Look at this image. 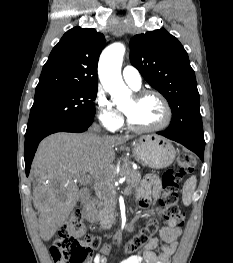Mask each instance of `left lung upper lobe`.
<instances>
[{
  "label": "left lung upper lobe",
  "mask_w": 233,
  "mask_h": 263,
  "mask_svg": "<svg viewBox=\"0 0 233 263\" xmlns=\"http://www.w3.org/2000/svg\"><path fill=\"white\" fill-rule=\"evenodd\" d=\"M130 60L145 80L168 100L167 133L205 144L195 72L181 43L161 28L134 36Z\"/></svg>",
  "instance_id": "5c2ea615"
}]
</instances>
